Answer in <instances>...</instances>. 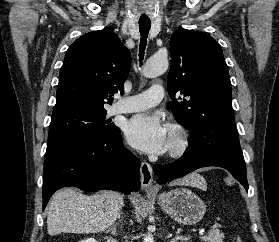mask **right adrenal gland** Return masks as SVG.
Returning a JSON list of instances; mask_svg holds the SVG:
<instances>
[{
	"instance_id": "2a0ac1e0",
	"label": "right adrenal gland",
	"mask_w": 279,
	"mask_h": 242,
	"mask_svg": "<svg viewBox=\"0 0 279 242\" xmlns=\"http://www.w3.org/2000/svg\"><path fill=\"white\" fill-rule=\"evenodd\" d=\"M118 218H119V217H118ZM119 221H121V220H119ZM106 232H107V233H108V232H111L112 235H114V236L118 235V233L116 232V225H113V226H112L111 228H109Z\"/></svg>"
}]
</instances>
